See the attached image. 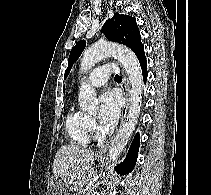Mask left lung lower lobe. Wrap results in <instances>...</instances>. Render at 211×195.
Returning <instances> with one entry per match:
<instances>
[{
  "instance_id": "0a47b994",
  "label": "left lung lower lobe",
  "mask_w": 211,
  "mask_h": 195,
  "mask_svg": "<svg viewBox=\"0 0 211 195\" xmlns=\"http://www.w3.org/2000/svg\"><path fill=\"white\" fill-rule=\"evenodd\" d=\"M138 59L142 68L144 82H146V79H147L146 57L145 55H142V56H139ZM138 148H139V134H136L130 146V149L128 151L125 161L119 164L118 166H116L115 170L121 174H127L131 172L137 161Z\"/></svg>"
}]
</instances>
